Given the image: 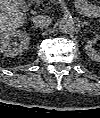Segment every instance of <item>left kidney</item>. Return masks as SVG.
Returning a JSON list of instances; mask_svg holds the SVG:
<instances>
[{
	"instance_id": "obj_1",
	"label": "left kidney",
	"mask_w": 100,
	"mask_h": 118,
	"mask_svg": "<svg viewBox=\"0 0 100 118\" xmlns=\"http://www.w3.org/2000/svg\"><path fill=\"white\" fill-rule=\"evenodd\" d=\"M94 43H95V40H88L86 42V45H85L86 53L90 57V59L99 62L100 53L92 47Z\"/></svg>"
}]
</instances>
